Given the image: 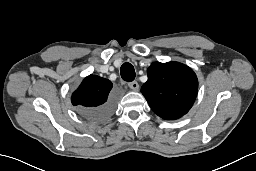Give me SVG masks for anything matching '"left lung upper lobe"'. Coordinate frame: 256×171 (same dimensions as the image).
Wrapping results in <instances>:
<instances>
[{"label": "left lung upper lobe", "instance_id": "5c2ea615", "mask_svg": "<svg viewBox=\"0 0 256 171\" xmlns=\"http://www.w3.org/2000/svg\"><path fill=\"white\" fill-rule=\"evenodd\" d=\"M147 73L141 92L154 113L175 120L190 110L198 90L196 74L190 67L179 62H154Z\"/></svg>", "mask_w": 256, "mask_h": 171}]
</instances>
